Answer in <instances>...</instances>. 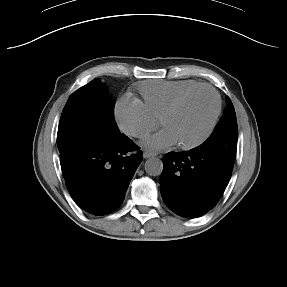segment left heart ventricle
I'll return each mask as SVG.
<instances>
[{
	"instance_id": "b2bd125f",
	"label": "left heart ventricle",
	"mask_w": 287,
	"mask_h": 287,
	"mask_svg": "<svg viewBox=\"0 0 287 287\" xmlns=\"http://www.w3.org/2000/svg\"><path fill=\"white\" fill-rule=\"evenodd\" d=\"M214 108L213 95L206 90L198 91L164 122L163 127L171 132L178 144L189 143L205 132Z\"/></svg>"
}]
</instances>
